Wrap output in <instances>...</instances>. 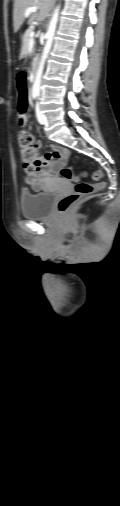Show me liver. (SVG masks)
Returning a JSON list of instances; mask_svg holds the SVG:
<instances>
[{
  "label": "liver",
  "mask_w": 120,
  "mask_h": 506,
  "mask_svg": "<svg viewBox=\"0 0 120 506\" xmlns=\"http://www.w3.org/2000/svg\"><path fill=\"white\" fill-rule=\"evenodd\" d=\"M54 0H14V31L17 32L24 20L29 17V21L38 20L43 21L53 6ZM37 7L36 12L30 13L25 16V11L28 7Z\"/></svg>",
  "instance_id": "6515ba94"
}]
</instances>
